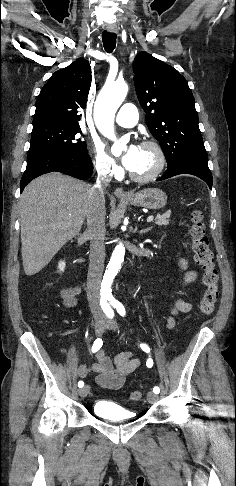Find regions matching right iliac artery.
Wrapping results in <instances>:
<instances>
[{
    "label": "right iliac artery",
    "mask_w": 236,
    "mask_h": 486,
    "mask_svg": "<svg viewBox=\"0 0 236 486\" xmlns=\"http://www.w3.org/2000/svg\"><path fill=\"white\" fill-rule=\"evenodd\" d=\"M103 310L105 312V314L109 317V318H113L114 316V312L112 310V308L107 304V302L104 303L103 305ZM103 345V341L101 338H98L94 341V344L92 346V352L95 353L97 352ZM78 386L80 388H82L84 386V382L83 381H79L78 382Z\"/></svg>",
    "instance_id": "1"
}]
</instances>
